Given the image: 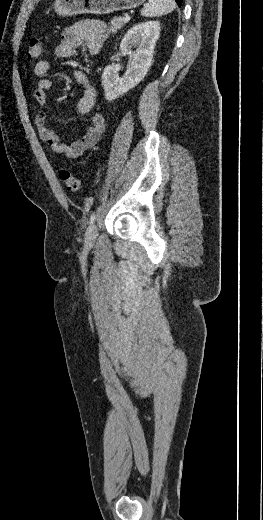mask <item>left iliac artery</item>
<instances>
[{"label": "left iliac artery", "instance_id": "1", "mask_svg": "<svg viewBox=\"0 0 263 520\" xmlns=\"http://www.w3.org/2000/svg\"><path fill=\"white\" fill-rule=\"evenodd\" d=\"M95 220H96V214H95V212H93L90 216V221H89L90 225H92L95 222Z\"/></svg>", "mask_w": 263, "mask_h": 520}]
</instances>
